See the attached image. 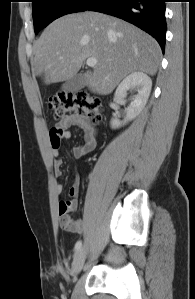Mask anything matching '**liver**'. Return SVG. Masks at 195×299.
I'll use <instances>...</instances> for the list:
<instances>
[{
  "label": "liver",
  "instance_id": "1",
  "mask_svg": "<svg viewBox=\"0 0 195 299\" xmlns=\"http://www.w3.org/2000/svg\"><path fill=\"white\" fill-rule=\"evenodd\" d=\"M33 76L45 84L66 81L84 61L97 59L86 85L108 94L127 75L157 72L161 49L150 35L121 19L97 12L68 14L53 21L34 43Z\"/></svg>",
  "mask_w": 195,
  "mask_h": 299
}]
</instances>
